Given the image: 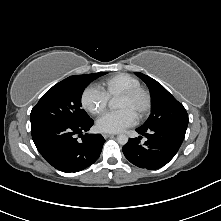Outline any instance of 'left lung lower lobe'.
<instances>
[{"label":"left lung lower lobe","mask_w":221,"mask_h":221,"mask_svg":"<svg viewBox=\"0 0 221 221\" xmlns=\"http://www.w3.org/2000/svg\"><path fill=\"white\" fill-rule=\"evenodd\" d=\"M187 126L168 124L154 128H137L136 131L147 140L140 144L139 138L129 139L122 148L125 157L134 165L149 170L166 165L179 150Z\"/></svg>","instance_id":"1"}]
</instances>
